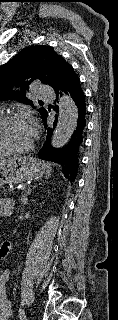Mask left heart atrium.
<instances>
[{
	"label": "left heart atrium",
	"instance_id": "obj_1",
	"mask_svg": "<svg viewBox=\"0 0 118 320\" xmlns=\"http://www.w3.org/2000/svg\"><path fill=\"white\" fill-rule=\"evenodd\" d=\"M30 127H31V129H32L33 136H34V134H35V129H34V127H33V126H30Z\"/></svg>",
	"mask_w": 118,
	"mask_h": 320
}]
</instances>
